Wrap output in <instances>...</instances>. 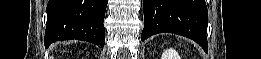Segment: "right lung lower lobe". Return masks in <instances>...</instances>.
Listing matches in <instances>:
<instances>
[{"instance_id": "98d812e1", "label": "right lung lower lobe", "mask_w": 261, "mask_h": 59, "mask_svg": "<svg viewBox=\"0 0 261 59\" xmlns=\"http://www.w3.org/2000/svg\"><path fill=\"white\" fill-rule=\"evenodd\" d=\"M108 0H49L45 46L78 39L104 46L103 25Z\"/></svg>"}]
</instances>
